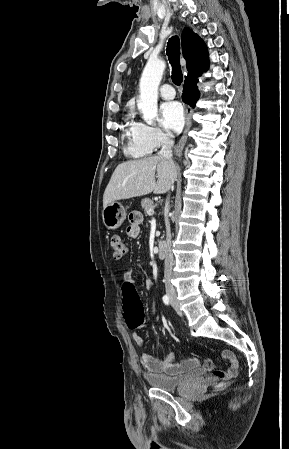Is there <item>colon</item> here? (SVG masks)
Instances as JSON below:
<instances>
[{"label":"colon","mask_w":289,"mask_h":449,"mask_svg":"<svg viewBox=\"0 0 289 449\" xmlns=\"http://www.w3.org/2000/svg\"><path fill=\"white\" fill-rule=\"evenodd\" d=\"M111 249L113 256L119 259L127 253L128 246L122 238L113 236L111 238ZM122 289V304L123 309L126 310V323L132 329L138 328L143 324L144 314L135 284L134 282H123ZM223 386L224 383H220L217 387Z\"/></svg>","instance_id":"5ec220e1"}]
</instances>
